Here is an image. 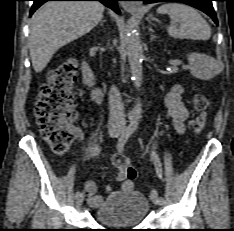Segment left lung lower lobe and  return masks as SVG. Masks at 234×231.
<instances>
[{
	"label": "left lung lower lobe",
	"instance_id": "0a47b994",
	"mask_svg": "<svg viewBox=\"0 0 234 231\" xmlns=\"http://www.w3.org/2000/svg\"><path fill=\"white\" fill-rule=\"evenodd\" d=\"M140 1H144V3L146 4L155 3V2H182L203 11L204 13L209 15L218 25L217 17L214 8L212 6L213 0H140Z\"/></svg>",
	"mask_w": 234,
	"mask_h": 231
}]
</instances>
